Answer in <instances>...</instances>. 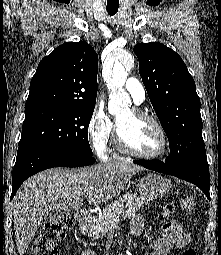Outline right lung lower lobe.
Listing matches in <instances>:
<instances>
[{
	"instance_id": "1",
	"label": "right lung lower lobe",
	"mask_w": 221,
	"mask_h": 255,
	"mask_svg": "<svg viewBox=\"0 0 221 255\" xmlns=\"http://www.w3.org/2000/svg\"><path fill=\"white\" fill-rule=\"evenodd\" d=\"M92 155L69 152L39 145H19L12 175V194L33 174L52 167H80L95 162Z\"/></svg>"
}]
</instances>
